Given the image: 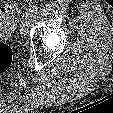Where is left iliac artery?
Returning a JSON list of instances; mask_svg holds the SVG:
<instances>
[{"label": "left iliac artery", "mask_w": 113, "mask_h": 113, "mask_svg": "<svg viewBox=\"0 0 113 113\" xmlns=\"http://www.w3.org/2000/svg\"><path fill=\"white\" fill-rule=\"evenodd\" d=\"M38 11V6L37 5H32L31 8L29 9V12L31 15L36 14Z\"/></svg>", "instance_id": "obj_1"}]
</instances>
